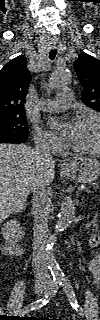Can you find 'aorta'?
Listing matches in <instances>:
<instances>
[{
	"mask_svg": "<svg viewBox=\"0 0 100 320\" xmlns=\"http://www.w3.org/2000/svg\"><path fill=\"white\" fill-rule=\"evenodd\" d=\"M71 73L68 69H56L53 71L50 77V85L52 87H59L65 85L70 81ZM75 215V206L70 197H64L61 201L60 212L58 214V220L55 225L54 234L50 235L46 241V261L47 266L51 271L54 279L63 280L64 273L57 263L54 254V245L56 243V234L63 231L71 224Z\"/></svg>",
	"mask_w": 100,
	"mask_h": 320,
	"instance_id": "1",
	"label": "aorta"
}]
</instances>
